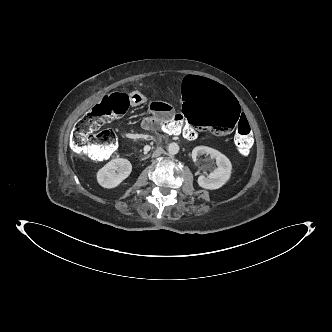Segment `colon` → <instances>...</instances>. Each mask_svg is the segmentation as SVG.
Returning <instances> with one entry per match:
<instances>
[{"label": "colon", "mask_w": 332, "mask_h": 332, "mask_svg": "<svg viewBox=\"0 0 332 332\" xmlns=\"http://www.w3.org/2000/svg\"><path fill=\"white\" fill-rule=\"evenodd\" d=\"M189 117H174L161 121L166 130L184 129L190 125L208 128L217 135H226L235 127L234 142L238 152L247 156L252 146V132L234 96L219 85L196 77L189 80L184 89ZM135 93H112L102 98L74 126L70 148L75 156H86L94 161L109 159L117 147V138L110 129H101L109 120L123 115L133 102Z\"/></svg>", "instance_id": "1"}]
</instances>
